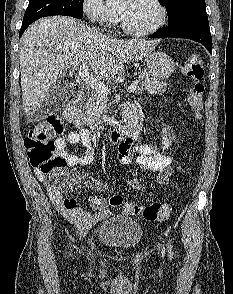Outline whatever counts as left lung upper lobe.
<instances>
[{
  "label": "left lung upper lobe",
  "mask_w": 233,
  "mask_h": 294,
  "mask_svg": "<svg viewBox=\"0 0 233 294\" xmlns=\"http://www.w3.org/2000/svg\"><path fill=\"white\" fill-rule=\"evenodd\" d=\"M167 10L169 23L185 15H207L205 0H159Z\"/></svg>",
  "instance_id": "5c2ea615"
}]
</instances>
